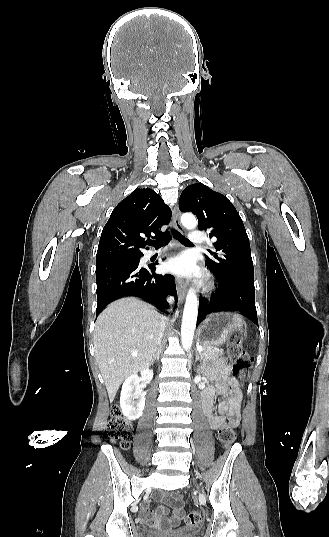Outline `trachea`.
<instances>
[{
	"mask_svg": "<svg viewBox=\"0 0 329 537\" xmlns=\"http://www.w3.org/2000/svg\"><path fill=\"white\" fill-rule=\"evenodd\" d=\"M172 236L174 238H176L177 240H179L181 243L185 244V245H192V243L188 239H186L184 236H182V234H180L177 230H174V229H172L171 234L167 230L157 240L150 241V242H148V244L151 245V246H154V247H161V246L167 244L169 242V240L172 238Z\"/></svg>",
	"mask_w": 329,
	"mask_h": 537,
	"instance_id": "1",
	"label": "trachea"
}]
</instances>
